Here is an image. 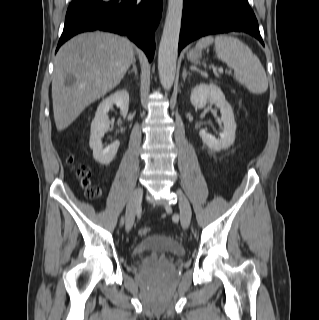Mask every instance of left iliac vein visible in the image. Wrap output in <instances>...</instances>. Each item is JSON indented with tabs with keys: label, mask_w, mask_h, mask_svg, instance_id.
I'll return each instance as SVG.
<instances>
[{
	"label": "left iliac vein",
	"mask_w": 319,
	"mask_h": 320,
	"mask_svg": "<svg viewBox=\"0 0 319 320\" xmlns=\"http://www.w3.org/2000/svg\"><path fill=\"white\" fill-rule=\"evenodd\" d=\"M179 207H180V220L181 225L184 229H187L190 225L192 211L190 207V203L187 197L180 191H177Z\"/></svg>",
	"instance_id": "obj_1"
}]
</instances>
